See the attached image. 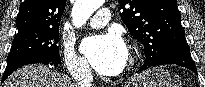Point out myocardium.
Here are the masks:
<instances>
[{"label":"myocardium","instance_id":"myocardium-1","mask_svg":"<svg viewBox=\"0 0 205 87\" xmlns=\"http://www.w3.org/2000/svg\"><path fill=\"white\" fill-rule=\"evenodd\" d=\"M137 58L133 53H129V56L126 61L125 71H130L134 68Z\"/></svg>","mask_w":205,"mask_h":87}]
</instances>
